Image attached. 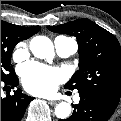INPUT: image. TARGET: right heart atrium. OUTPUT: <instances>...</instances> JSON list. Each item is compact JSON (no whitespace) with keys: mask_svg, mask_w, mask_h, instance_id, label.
<instances>
[{"mask_svg":"<svg viewBox=\"0 0 121 121\" xmlns=\"http://www.w3.org/2000/svg\"><path fill=\"white\" fill-rule=\"evenodd\" d=\"M27 44L25 42H20L16 45L14 52H13V58L15 61H21L23 60L27 55Z\"/></svg>","mask_w":121,"mask_h":121,"instance_id":"right-heart-atrium-1","label":"right heart atrium"}]
</instances>
